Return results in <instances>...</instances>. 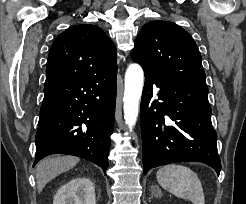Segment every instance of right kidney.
Returning <instances> with one entry per match:
<instances>
[{
	"label": "right kidney",
	"mask_w": 246,
	"mask_h": 204,
	"mask_svg": "<svg viewBox=\"0 0 246 204\" xmlns=\"http://www.w3.org/2000/svg\"><path fill=\"white\" fill-rule=\"evenodd\" d=\"M53 204H96L95 186L85 177H77L59 188Z\"/></svg>",
	"instance_id": "1"
}]
</instances>
